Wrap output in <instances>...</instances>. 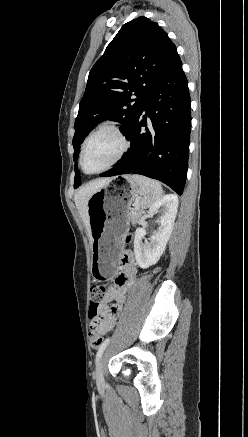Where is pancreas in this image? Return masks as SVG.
Wrapping results in <instances>:
<instances>
[{"label":"pancreas","instance_id":"cf45deb5","mask_svg":"<svg viewBox=\"0 0 248 437\" xmlns=\"http://www.w3.org/2000/svg\"><path fill=\"white\" fill-rule=\"evenodd\" d=\"M141 216V211L139 209H132L129 212V220L132 224H136Z\"/></svg>","mask_w":248,"mask_h":437}]
</instances>
